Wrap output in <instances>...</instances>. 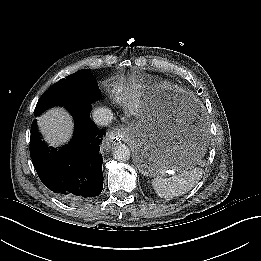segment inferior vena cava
<instances>
[{
    "mask_svg": "<svg viewBox=\"0 0 261 261\" xmlns=\"http://www.w3.org/2000/svg\"><path fill=\"white\" fill-rule=\"evenodd\" d=\"M92 117L97 125L107 126L112 122L113 113L108 108L99 107L94 110Z\"/></svg>",
    "mask_w": 261,
    "mask_h": 261,
    "instance_id": "602c4592",
    "label": "inferior vena cava"
}]
</instances>
